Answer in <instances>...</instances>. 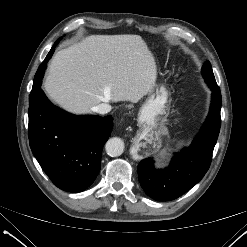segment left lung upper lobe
<instances>
[{
	"label": "left lung upper lobe",
	"mask_w": 247,
	"mask_h": 247,
	"mask_svg": "<svg viewBox=\"0 0 247 247\" xmlns=\"http://www.w3.org/2000/svg\"><path fill=\"white\" fill-rule=\"evenodd\" d=\"M202 75L205 79V82L208 84L210 88H216L219 89L213 71L212 67L209 61H206L202 67Z\"/></svg>",
	"instance_id": "left-lung-upper-lobe-1"
}]
</instances>
